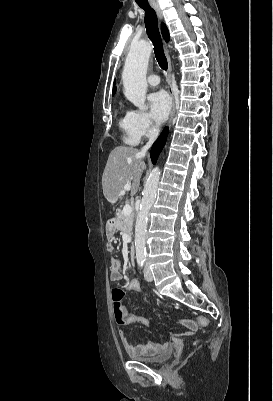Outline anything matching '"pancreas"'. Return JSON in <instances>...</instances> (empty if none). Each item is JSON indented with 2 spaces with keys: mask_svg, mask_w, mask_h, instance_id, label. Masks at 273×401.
Returning a JSON list of instances; mask_svg holds the SVG:
<instances>
[{
  "mask_svg": "<svg viewBox=\"0 0 273 401\" xmlns=\"http://www.w3.org/2000/svg\"><path fill=\"white\" fill-rule=\"evenodd\" d=\"M116 217V229H118V231H122V233H126V235H129V237H131L132 225L134 221L133 213H131V215H128V217H126V215H123V213H117Z\"/></svg>",
  "mask_w": 273,
  "mask_h": 401,
  "instance_id": "1",
  "label": "pancreas"
}]
</instances>
